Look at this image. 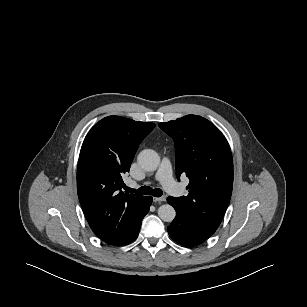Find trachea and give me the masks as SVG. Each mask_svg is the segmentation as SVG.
<instances>
[{
  "label": "trachea",
  "instance_id": "3493384b",
  "mask_svg": "<svg viewBox=\"0 0 307 307\" xmlns=\"http://www.w3.org/2000/svg\"><path fill=\"white\" fill-rule=\"evenodd\" d=\"M127 191L131 192V193L136 192V193H139V194H142V195H153L154 197H161L162 194H163V191L161 189H159V188L152 189L149 186H143V187L139 188L138 190H134V189L127 187Z\"/></svg>",
  "mask_w": 307,
  "mask_h": 307
}]
</instances>
